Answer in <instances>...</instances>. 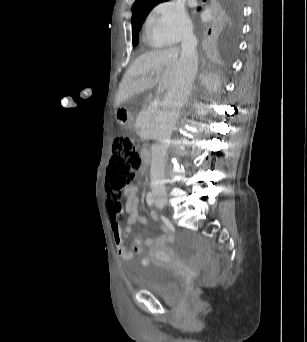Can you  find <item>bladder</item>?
I'll return each mask as SVG.
<instances>
[{
  "mask_svg": "<svg viewBox=\"0 0 307 342\" xmlns=\"http://www.w3.org/2000/svg\"><path fill=\"white\" fill-rule=\"evenodd\" d=\"M141 286L146 291L165 297L179 290L180 277L171 266L152 262L146 267Z\"/></svg>",
  "mask_w": 307,
  "mask_h": 342,
  "instance_id": "bladder-1",
  "label": "bladder"
}]
</instances>
